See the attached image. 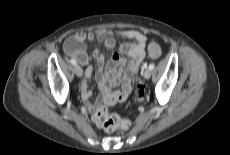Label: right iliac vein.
I'll list each match as a JSON object with an SVG mask.
<instances>
[{"label":"right iliac vein","mask_w":230,"mask_h":155,"mask_svg":"<svg viewBox=\"0 0 230 155\" xmlns=\"http://www.w3.org/2000/svg\"><path fill=\"white\" fill-rule=\"evenodd\" d=\"M74 72L78 77H81L83 74V70L79 65L74 66Z\"/></svg>","instance_id":"63e3f726"}]
</instances>
